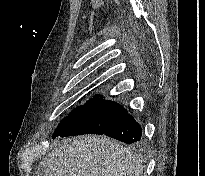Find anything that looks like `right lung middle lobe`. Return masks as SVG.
I'll use <instances>...</instances> for the list:
<instances>
[{"mask_svg": "<svg viewBox=\"0 0 205 176\" xmlns=\"http://www.w3.org/2000/svg\"><path fill=\"white\" fill-rule=\"evenodd\" d=\"M118 103L100 97L91 98L86 104L74 109L56 128L57 136L104 134L126 114Z\"/></svg>", "mask_w": 205, "mask_h": 176, "instance_id": "obj_1", "label": "right lung middle lobe"}]
</instances>
